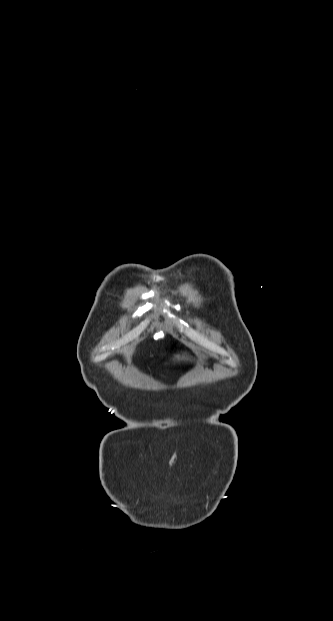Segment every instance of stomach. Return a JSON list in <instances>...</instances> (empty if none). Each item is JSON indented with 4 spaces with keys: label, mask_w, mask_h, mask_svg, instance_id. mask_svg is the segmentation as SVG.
Returning <instances> with one entry per match:
<instances>
[{
    "label": "stomach",
    "mask_w": 333,
    "mask_h": 621,
    "mask_svg": "<svg viewBox=\"0 0 333 621\" xmlns=\"http://www.w3.org/2000/svg\"><path fill=\"white\" fill-rule=\"evenodd\" d=\"M178 360H179L180 362H185V361L187 360V355H186L185 353H180V354L178 355Z\"/></svg>",
    "instance_id": "obj_1"
}]
</instances>
